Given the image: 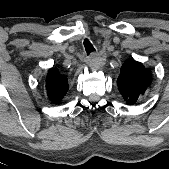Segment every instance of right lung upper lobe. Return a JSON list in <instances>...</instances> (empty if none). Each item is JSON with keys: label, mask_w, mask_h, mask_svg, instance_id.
I'll return each mask as SVG.
<instances>
[{"label": "right lung upper lobe", "mask_w": 169, "mask_h": 169, "mask_svg": "<svg viewBox=\"0 0 169 169\" xmlns=\"http://www.w3.org/2000/svg\"><path fill=\"white\" fill-rule=\"evenodd\" d=\"M67 78L62 76L56 68L48 71L46 89L50 100L59 103L68 91Z\"/></svg>", "instance_id": "1"}]
</instances>
